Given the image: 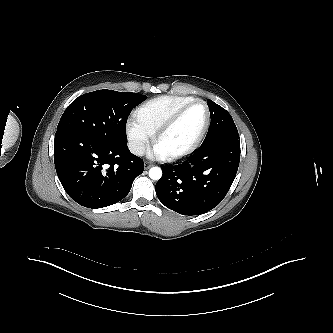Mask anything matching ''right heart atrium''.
<instances>
[{
	"instance_id": "1",
	"label": "right heart atrium",
	"mask_w": 333,
	"mask_h": 333,
	"mask_svg": "<svg viewBox=\"0 0 333 333\" xmlns=\"http://www.w3.org/2000/svg\"><path fill=\"white\" fill-rule=\"evenodd\" d=\"M126 135L130 150L136 155H142L149 145L151 134L136 118H129L126 122Z\"/></svg>"
}]
</instances>
